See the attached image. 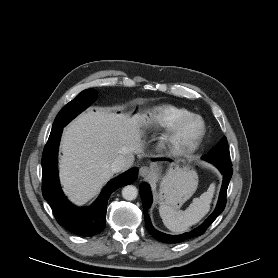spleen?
<instances>
[{
	"instance_id": "1",
	"label": "spleen",
	"mask_w": 278,
	"mask_h": 278,
	"mask_svg": "<svg viewBox=\"0 0 278 278\" xmlns=\"http://www.w3.org/2000/svg\"><path fill=\"white\" fill-rule=\"evenodd\" d=\"M215 191V184L212 183L207 192L194 198L193 202L185 210H175L168 205H160L159 214L165 226L175 233H183L192 225L198 223L210 210Z\"/></svg>"
}]
</instances>
